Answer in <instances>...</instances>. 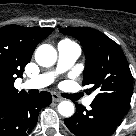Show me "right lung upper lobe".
Here are the masks:
<instances>
[{"instance_id": "right-lung-upper-lobe-1", "label": "right lung upper lobe", "mask_w": 136, "mask_h": 136, "mask_svg": "<svg viewBox=\"0 0 136 136\" xmlns=\"http://www.w3.org/2000/svg\"><path fill=\"white\" fill-rule=\"evenodd\" d=\"M53 28H30L7 25L0 28V105L25 94L14 87L37 44L52 33Z\"/></svg>"}]
</instances>
